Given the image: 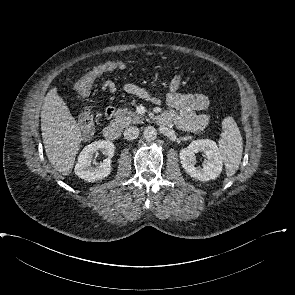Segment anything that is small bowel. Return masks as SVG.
I'll return each instance as SVG.
<instances>
[{"label": "small bowel", "instance_id": "c3829d8e", "mask_svg": "<svg viewBox=\"0 0 295 295\" xmlns=\"http://www.w3.org/2000/svg\"><path fill=\"white\" fill-rule=\"evenodd\" d=\"M124 89L127 93L145 100L151 102L159 101L135 83L126 84ZM103 90L112 93L115 90L114 84L112 82H106L103 85ZM166 104L168 110L159 117L160 123L167 124L172 122L177 127L188 131H199L205 126L207 117L197 114V112L203 111L208 107L209 100L206 95L202 93H182L178 91V84L172 82L170 92L166 96ZM112 112L113 109L109 107L107 109V116L110 117Z\"/></svg>", "mask_w": 295, "mask_h": 295}]
</instances>
